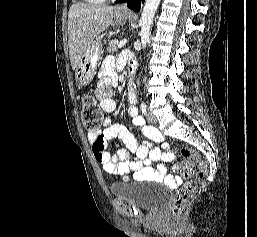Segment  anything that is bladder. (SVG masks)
<instances>
[{
	"instance_id": "obj_1",
	"label": "bladder",
	"mask_w": 257,
	"mask_h": 237,
	"mask_svg": "<svg viewBox=\"0 0 257 237\" xmlns=\"http://www.w3.org/2000/svg\"><path fill=\"white\" fill-rule=\"evenodd\" d=\"M148 180L121 182L110 186V193L117 198L125 199L144 210H157L163 207L168 199L166 190L147 187Z\"/></svg>"
}]
</instances>
